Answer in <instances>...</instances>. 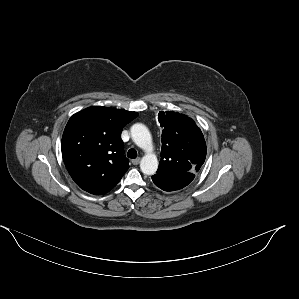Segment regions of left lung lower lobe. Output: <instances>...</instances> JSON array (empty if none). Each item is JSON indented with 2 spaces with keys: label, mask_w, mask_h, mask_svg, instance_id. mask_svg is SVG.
Returning a JSON list of instances; mask_svg holds the SVG:
<instances>
[{
  "label": "left lung lower lobe",
  "mask_w": 299,
  "mask_h": 299,
  "mask_svg": "<svg viewBox=\"0 0 299 299\" xmlns=\"http://www.w3.org/2000/svg\"><path fill=\"white\" fill-rule=\"evenodd\" d=\"M194 175L189 172L175 174H160L152 176L154 184L164 191H176L187 186L193 179Z\"/></svg>",
  "instance_id": "obj_1"
}]
</instances>
